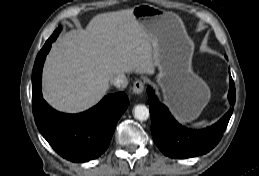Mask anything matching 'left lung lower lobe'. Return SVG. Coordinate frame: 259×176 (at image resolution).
<instances>
[{
  "mask_svg": "<svg viewBox=\"0 0 259 176\" xmlns=\"http://www.w3.org/2000/svg\"><path fill=\"white\" fill-rule=\"evenodd\" d=\"M148 104L151 116L153 140L161 152L171 158L184 159L206 154L223 136L233 109H230L217 123L202 130H192L180 125L167 107L160 103L151 87H148ZM228 98L235 103V85L230 76Z\"/></svg>",
  "mask_w": 259,
  "mask_h": 176,
  "instance_id": "obj_1",
  "label": "left lung lower lobe"
}]
</instances>
